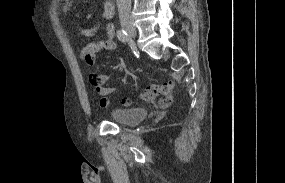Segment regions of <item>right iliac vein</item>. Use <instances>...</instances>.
Segmentation results:
<instances>
[{
    "instance_id": "1",
    "label": "right iliac vein",
    "mask_w": 285,
    "mask_h": 183,
    "mask_svg": "<svg viewBox=\"0 0 285 183\" xmlns=\"http://www.w3.org/2000/svg\"><path fill=\"white\" fill-rule=\"evenodd\" d=\"M121 25L130 37H132V38L136 37L137 31H136V28H135V26H134V24L130 18H122L121 19Z\"/></svg>"
}]
</instances>
